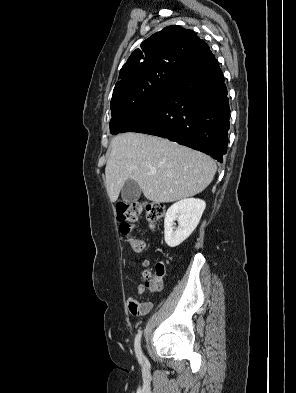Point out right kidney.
<instances>
[{
	"label": "right kidney",
	"mask_w": 296,
	"mask_h": 393,
	"mask_svg": "<svg viewBox=\"0 0 296 393\" xmlns=\"http://www.w3.org/2000/svg\"><path fill=\"white\" fill-rule=\"evenodd\" d=\"M206 203L201 199L180 200L167 210L164 219V237L169 247H176L185 241L197 227L205 210ZM179 227L174 230V221Z\"/></svg>",
	"instance_id": "right-kidney-1"
}]
</instances>
